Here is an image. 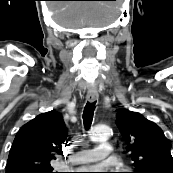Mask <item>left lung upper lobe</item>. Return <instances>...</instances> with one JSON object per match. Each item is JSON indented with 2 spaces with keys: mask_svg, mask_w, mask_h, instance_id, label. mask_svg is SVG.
<instances>
[{
  "mask_svg": "<svg viewBox=\"0 0 173 173\" xmlns=\"http://www.w3.org/2000/svg\"><path fill=\"white\" fill-rule=\"evenodd\" d=\"M116 124L134 161L133 173H173L170 142L157 124L127 109L117 111Z\"/></svg>",
  "mask_w": 173,
  "mask_h": 173,
  "instance_id": "5c2ea615",
  "label": "left lung upper lobe"
}]
</instances>
